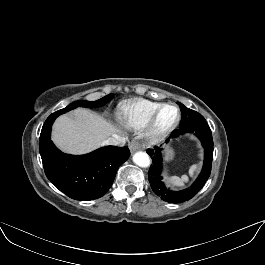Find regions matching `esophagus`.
<instances>
[{
  "instance_id": "obj_1",
  "label": "esophagus",
  "mask_w": 265,
  "mask_h": 265,
  "mask_svg": "<svg viewBox=\"0 0 265 265\" xmlns=\"http://www.w3.org/2000/svg\"><path fill=\"white\" fill-rule=\"evenodd\" d=\"M129 148L131 152L133 153L141 149V144L135 140H132L129 142Z\"/></svg>"
}]
</instances>
